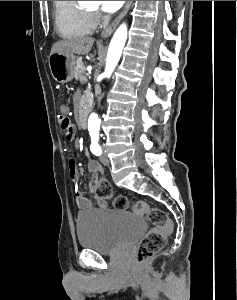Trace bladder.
<instances>
[{
    "label": "bladder",
    "mask_w": 237,
    "mask_h": 300,
    "mask_svg": "<svg viewBox=\"0 0 237 300\" xmlns=\"http://www.w3.org/2000/svg\"><path fill=\"white\" fill-rule=\"evenodd\" d=\"M144 230L143 219L125 210L83 212L76 225L80 246L100 254L121 252L132 245Z\"/></svg>",
    "instance_id": "31cf9c89"
}]
</instances>
